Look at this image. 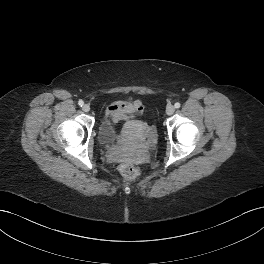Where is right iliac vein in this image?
Masks as SVG:
<instances>
[{
    "label": "right iliac vein",
    "instance_id": "1",
    "mask_svg": "<svg viewBox=\"0 0 264 264\" xmlns=\"http://www.w3.org/2000/svg\"><path fill=\"white\" fill-rule=\"evenodd\" d=\"M82 110L84 112H89L90 111V106L88 104H85V105H83Z\"/></svg>",
    "mask_w": 264,
    "mask_h": 264
}]
</instances>
